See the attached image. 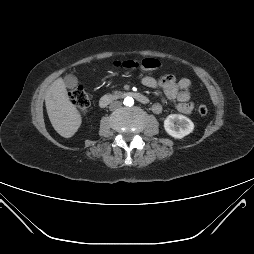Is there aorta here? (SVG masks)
Returning a JSON list of instances; mask_svg holds the SVG:
<instances>
[{
    "mask_svg": "<svg viewBox=\"0 0 254 254\" xmlns=\"http://www.w3.org/2000/svg\"><path fill=\"white\" fill-rule=\"evenodd\" d=\"M123 104H124L125 106L131 107V106H133V104H134V99H133L132 97H126V98L124 99V101H123Z\"/></svg>",
    "mask_w": 254,
    "mask_h": 254,
    "instance_id": "aorta-1",
    "label": "aorta"
}]
</instances>
